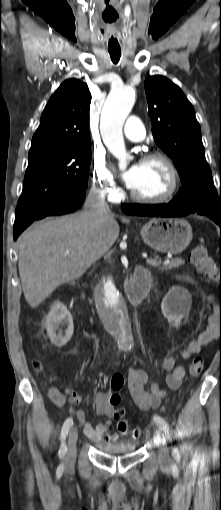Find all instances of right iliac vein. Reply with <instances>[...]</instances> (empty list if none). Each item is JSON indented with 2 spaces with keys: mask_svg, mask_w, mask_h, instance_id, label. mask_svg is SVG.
I'll return each instance as SVG.
<instances>
[{
  "mask_svg": "<svg viewBox=\"0 0 221 510\" xmlns=\"http://www.w3.org/2000/svg\"><path fill=\"white\" fill-rule=\"evenodd\" d=\"M78 439V432L76 428H73L69 432L68 436V453L66 457V464L68 466L73 465L76 458V444Z\"/></svg>",
  "mask_w": 221,
  "mask_h": 510,
  "instance_id": "63e3f726",
  "label": "right iliac vein"
}]
</instances>
